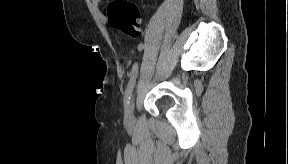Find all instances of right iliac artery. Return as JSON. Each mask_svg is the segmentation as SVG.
Wrapping results in <instances>:
<instances>
[{
    "mask_svg": "<svg viewBox=\"0 0 288 164\" xmlns=\"http://www.w3.org/2000/svg\"><path fill=\"white\" fill-rule=\"evenodd\" d=\"M143 48H144L143 44L138 45V51H142ZM137 76H138V64L135 63L133 65L130 81L128 83V86L126 88L125 95H124V105L125 106H127L130 102L131 94H132Z\"/></svg>",
    "mask_w": 288,
    "mask_h": 164,
    "instance_id": "obj_1",
    "label": "right iliac artery"
}]
</instances>
